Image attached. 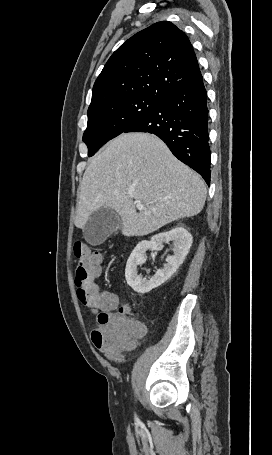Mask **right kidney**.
Instances as JSON below:
<instances>
[{"label": "right kidney", "mask_w": 272, "mask_h": 455, "mask_svg": "<svg viewBox=\"0 0 272 455\" xmlns=\"http://www.w3.org/2000/svg\"><path fill=\"white\" fill-rule=\"evenodd\" d=\"M173 241L174 255L167 256L163 269H158L150 279H142L138 275V266L146 261L148 249L161 250L164 242ZM192 245V235L182 226L173 228L168 232L159 233L150 241H141L132 251L127 260L125 278L127 284L138 293H148L166 282L179 268L186 258Z\"/></svg>", "instance_id": "obj_1"}]
</instances>
